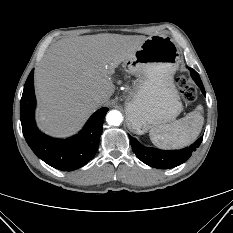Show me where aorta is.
Wrapping results in <instances>:
<instances>
[{
	"mask_svg": "<svg viewBox=\"0 0 233 233\" xmlns=\"http://www.w3.org/2000/svg\"><path fill=\"white\" fill-rule=\"evenodd\" d=\"M106 120H107L109 125L118 126L121 124L123 117L119 111L112 110L107 114Z\"/></svg>",
	"mask_w": 233,
	"mask_h": 233,
	"instance_id": "762f6f07",
	"label": "aorta"
}]
</instances>
